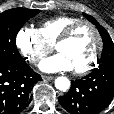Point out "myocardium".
Wrapping results in <instances>:
<instances>
[{"label": "myocardium", "mask_w": 114, "mask_h": 114, "mask_svg": "<svg viewBox=\"0 0 114 114\" xmlns=\"http://www.w3.org/2000/svg\"><path fill=\"white\" fill-rule=\"evenodd\" d=\"M82 26H87L93 31L97 40V46L91 61L82 68L74 69V73L77 75H85L91 72L99 63L103 51L104 42L98 28L88 20H79L68 26L55 42V49L57 50L58 45L71 39L74 33L77 31V29H79Z\"/></svg>", "instance_id": "1"}]
</instances>
